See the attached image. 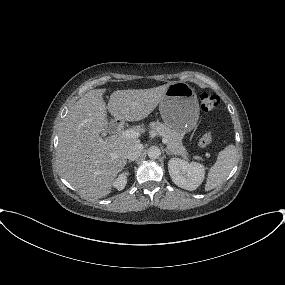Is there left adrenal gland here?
I'll return each mask as SVG.
<instances>
[{
	"instance_id": "obj_1",
	"label": "left adrenal gland",
	"mask_w": 285,
	"mask_h": 285,
	"mask_svg": "<svg viewBox=\"0 0 285 285\" xmlns=\"http://www.w3.org/2000/svg\"><path fill=\"white\" fill-rule=\"evenodd\" d=\"M165 152L167 155H172V153L170 151H168L167 149H165Z\"/></svg>"
}]
</instances>
